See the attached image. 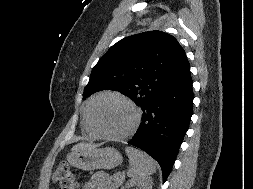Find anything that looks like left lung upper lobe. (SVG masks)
<instances>
[{"label":"left lung upper lobe","mask_w":253,"mask_h":189,"mask_svg":"<svg viewBox=\"0 0 253 189\" xmlns=\"http://www.w3.org/2000/svg\"><path fill=\"white\" fill-rule=\"evenodd\" d=\"M185 51L170 34L148 31L114 44L92 69L83 99L109 89L141 108L180 71Z\"/></svg>","instance_id":"left-lung-upper-lobe-1"}]
</instances>
